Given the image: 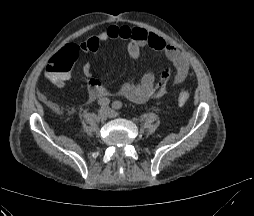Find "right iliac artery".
<instances>
[{
	"instance_id": "right-iliac-artery-1",
	"label": "right iliac artery",
	"mask_w": 254,
	"mask_h": 216,
	"mask_svg": "<svg viewBox=\"0 0 254 216\" xmlns=\"http://www.w3.org/2000/svg\"><path fill=\"white\" fill-rule=\"evenodd\" d=\"M110 104V100L108 98H102L100 100H98V105L100 106H108Z\"/></svg>"
}]
</instances>
